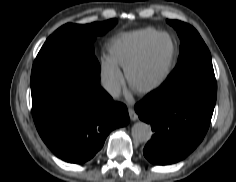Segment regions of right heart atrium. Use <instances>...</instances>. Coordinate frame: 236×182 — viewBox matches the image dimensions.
<instances>
[{
  "label": "right heart atrium",
  "mask_w": 236,
  "mask_h": 182,
  "mask_svg": "<svg viewBox=\"0 0 236 182\" xmlns=\"http://www.w3.org/2000/svg\"><path fill=\"white\" fill-rule=\"evenodd\" d=\"M102 82L104 87L112 94H117L123 86V74L120 69L106 59L102 63Z\"/></svg>",
  "instance_id": "right-heart-atrium-1"
}]
</instances>
